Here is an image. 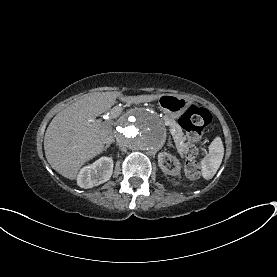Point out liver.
Listing matches in <instances>:
<instances>
[{
	"mask_svg": "<svg viewBox=\"0 0 277 277\" xmlns=\"http://www.w3.org/2000/svg\"><path fill=\"white\" fill-rule=\"evenodd\" d=\"M163 95L124 96L117 91L84 95L50 122L44 136L47 162L64 178L76 180L82 167L103 154L115 139L114 122L96 120L98 115L113 107L116 99L130 105L152 102Z\"/></svg>",
	"mask_w": 277,
	"mask_h": 277,
	"instance_id": "6515ba94",
	"label": "liver"
}]
</instances>
